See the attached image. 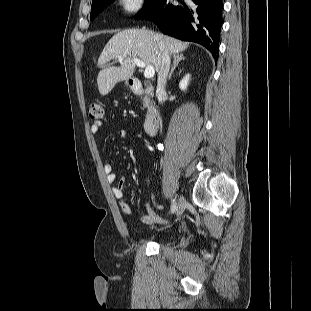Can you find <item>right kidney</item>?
<instances>
[{"mask_svg": "<svg viewBox=\"0 0 311 311\" xmlns=\"http://www.w3.org/2000/svg\"><path fill=\"white\" fill-rule=\"evenodd\" d=\"M190 75L187 74L179 83V88L182 91H185L187 89L188 83H189Z\"/></svg>", "mask_w": 311, "mask_h": 311, "instance_id": "1", "label": "right kidney"}]
</instances>
